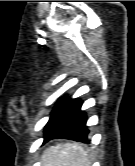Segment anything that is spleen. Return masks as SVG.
Segmentation results:
<instances>
[{
	"label": "spleen",
	"mask_w": 135,
	"mask_h": 166,
	"mask_svg": "<svg viewBox=\"0 0 135 166\" xmlns=\"http://www.w3.org/2000/svg\"><path fill=\"white\" fill-rule=\"evenodd\" d=\"M88 152L77 143L57 144L46 149L42 166H90Z\"/></svg>",
	"instance_id": "spleen-1"
}]
</instances>
